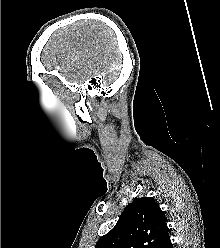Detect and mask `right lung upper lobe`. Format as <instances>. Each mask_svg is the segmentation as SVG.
I'll use <instances>...</instances> for the list:
<instances>
[{
  "instance_id": "1",
  "label": "right lung upper lobe",
  "mask_w": 220,
  "mask_h": 248,
  "mask_svg": "<svg viewBox=\"0 0 220 248\" xmlns=\"http://www.w3.org/2000/svg\"><path fill=\"white\" fill-rule=\"evenodd\" d=\"M168 236L158 203L142 197L125 207L115 227L99 239L95 248H159Z\"/></svg>"
}]
</instances>
